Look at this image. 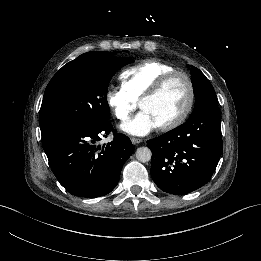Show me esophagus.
Returning <instances> with one entry per match:
<instances>
[{
    "label": "esophagus",
    "mask_w": 261,
    "mask_h": 261,
    "mask_svg": "<svg viewBox=\"0 0 261 261\" xmlns=\"http://www.w3.org/2000/svg\"><path fill=\"white\" fill-rule=\"evenodd\" d=\"M131 142L133 144H139L142 142V139L133 137V138H131Z\"/></svg>",
    "instance_id": "obj_1"
}]
</instances>
